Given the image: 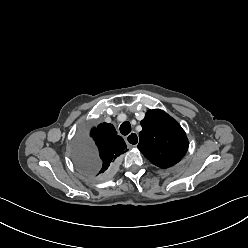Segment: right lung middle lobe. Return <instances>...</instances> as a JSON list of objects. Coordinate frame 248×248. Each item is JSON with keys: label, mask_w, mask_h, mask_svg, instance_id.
Instances as JSON below:
<instances>
[{"label": "right lung middle lobe", "mask_w": 248, "mask_h": 248, "mask_svg": "<svg viewBox=\"0 0 248 248\" xmlns=\"http://www.w3.org/2000/svg\"><path fill=\"white\" fill-rule=\"evenodd\" d=\"M74 161L78 168L87 175H96L100 168V159L94 144L79 138L74 149Z\"/></svg>", "instance_id": "obj_1"}]
</instances>
